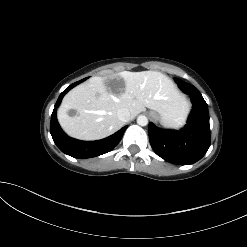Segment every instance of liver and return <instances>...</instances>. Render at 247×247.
<instances>
[{"label": "liver", "instance_id": "obj_1", "mask_svg": "<svg viewBox=\"0 0 247 247\" xmlns=\"http://www.w3.org/2000/svg\"><path fill=\"white\" fill-rule=\"evenodd\" d=\"M113 81L120 86L112 88ZM146 107L158 112L162 123L171 126L184 124L189 111L188 102L166 75L157 71H123L107 77H91L73 88L63 98L57 117L71 137L98 140L124 125L117 117L119 109H128L132 119ZM70 109L77 114L69 116Z\"/></svg>", "mask_w": 247, "mask_h": 247}]
</instances>
